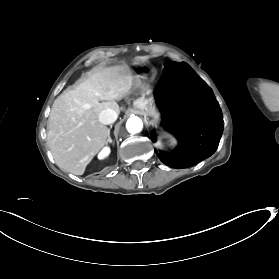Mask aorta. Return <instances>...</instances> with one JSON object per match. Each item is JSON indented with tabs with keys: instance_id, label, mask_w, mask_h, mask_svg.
I'll list each match as a JSON object with an SVG mask.
<instances>
[{
	"instance_id": "aorta-1",
	"label": "aorta",
	"mask_w": 279,
	"mask_h": 279,
	"mask_svg": "<svg viewBox=\"0 0 279 279\" xmlns=\"http://www.w3.org/2000/svg\"><path fill=\"white\" fill-rule=\"evenodd\" d=\"M143 128L142 120L139 117H131L127 120L126 129L131 134L139 133Z\"/></svg>"
}]
</instances>
